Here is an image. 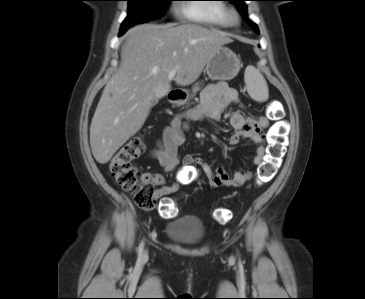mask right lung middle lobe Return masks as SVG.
I'll use <instances>...</instances> for the list:
<instances>
[{"mask_svg":"<svg viewBox=\"0 0 365 299\" xmlns=\"http://www.w3.org/2000/svg\"><path fill=\"white\" fill-rule=\"evenodd\" d=\"M129 1L128 17L122 27L156 19L163 14L172 0H127Z\"/></svg>","mask_w":365,"mask_h":299,"instance_id":"obj_1","label":"right lung middle lobe"}]
</instances>
